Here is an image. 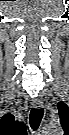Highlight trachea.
<instances>
[{
    "label": "trachea",
    "instance_id": "obj_1",
    "mask_svg": "<svg viewBox=\"0 0 69 135\" xmlns=\"http://www.w3.org/2000/svg\"><path fill=\"white\" fill-rule=\"evenodd\" d=\"M44 115L43 108H33L30 112L29 124L32 130H37Z\"/></svg>",
    "mask_w": 69,
    "mask_h": 135
}]
</instances>
